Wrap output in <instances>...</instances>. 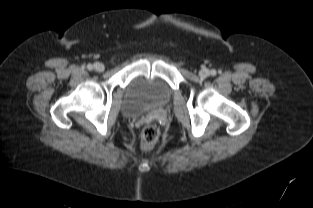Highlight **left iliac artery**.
<instances>
[{
  "mask_svg": "<svg viewBox=\"0 0 313 208\" xmlns=\"http://www.w3.org/2000/svg\"><path fill=\"white\" fill-rule=\"evenodd\" d=\"M211 75H213V76L216 75V71H215V70H212V71H211Z\"/></svg>",
  "mask_w": 313,
  "mask_h": 208,
  "instance_id": "obj_1",
  "label": "left iliac artery"
}]
</instances>
